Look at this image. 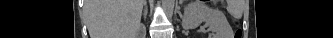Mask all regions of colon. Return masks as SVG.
I'll return each mask as SVG.
<instances>
[{"mask_svg": "<svg viewBox=\"0 0 333 38\" xmlns=\"http://www.w3.org/2000/svg\"><path fill=\"white\" fill-rule=\"evenodd\" d=\"M242 36V32L240 29H237V31L235 32V37L234 38H241Z\"/></svg>", "mask_w": 333, "mask_h": 38, "instance_id": "colon-1", "label": "colon"}]
</instances>
